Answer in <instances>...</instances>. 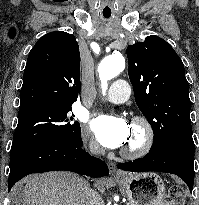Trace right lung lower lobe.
<instances>
[{
	"label": "right lung lower lobe",
	"instance_id": "right-lung-lower-lobe-1",
	"mask_svg": "<svg viewBox=\"0 0 199 205\" xmlns=\"http://www.w3.org/2000/svg\"><path fill=\"white\" fill-rule=\"evenodd\" d=\"M83 142L65 140L38 144L10 154L8 191L24 176L54 170L72 171L91 177L109 174L108 166L82 149Z\"/></svg>",
	"mask_w": 199,
	"mask_h": 205
}]
</instances>
